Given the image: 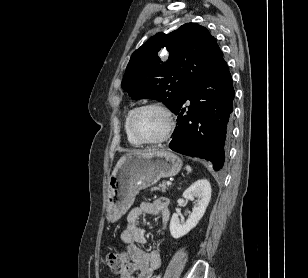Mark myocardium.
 Masks as SVG:
<instances>
[{"label": "myocardium", "instance_id": "1", "mask_svg": "<svg viewBox=\"0 0 308 278\" xmlns=\"http://www.w3.org/2000/svg\"><path fill=\"white\" fill-rule=\"evenodd\" d=\"M147 108H155V109L161 110L167 118V128L164 134L159 138L146 139L142 137L141 135H139L135 129L134 120H135L136 115L140 111L147 109ZM174 125L175 124H174V118H173L172 112L165 105L158 103V102H149V103H145V104H142L134 108L128 120V127H129V131L131 135L141 144H149V145L160 144V143L165 142L171 136L174 130Z\"/></svg>", "mask_w": 308, "mask_h": 278}]
</instances>
